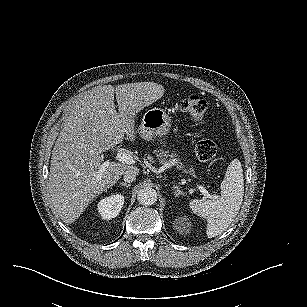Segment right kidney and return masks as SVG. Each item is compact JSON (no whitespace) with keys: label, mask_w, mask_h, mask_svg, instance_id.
Here are the masks:
<instances>
[{"label":"right kidney","mask_w":307,"mask_h":307,"mask_svg":"<svg viewBox=\"0 0 307 307\" xmlns=\"http://www.w3.org/2000/svg\"><path fill=\"white\" fill-rule=\"evenodd\" d=\"M125 197L121 193L101 197L96 203V210L102 220L110 221L117 217L124 205Z\"/></svg>","instance_id":"right-kidney-1"}]
</instances>
